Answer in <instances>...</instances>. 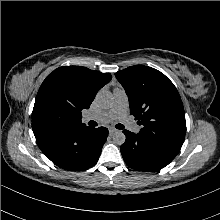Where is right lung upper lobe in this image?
Here are the masks:
<instances>
[{
  "mask_svg": "<svg viewBox=\"0 0 220 220\" xmlns=\"http://www.w3.org/2000/svg\"><path fill=\"white\" fill-rule=\"evenodd\" d=\"M81 66L55 69L43 81L37 93L32 128L36 139L87 127L81 123V111L88 109L98 90L111 80Z\"/></svg>",
  "mask_w": 220,
  "mask_h": 220,
  "instance_id": "cb5924a9",
  "label": "right lung upper lobe"
}]
</instances>
